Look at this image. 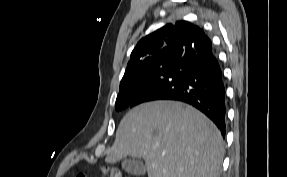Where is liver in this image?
Listing matches in <instances>:
<instances>
[{
    "instance_id": "1",
    "label": "liver",
    "mask_w": 287,
    "mask_h": 177,
    "mask_svg": "<svg viewBox=\"0 0 287 177\" xmlns=\"http://www.w3.org/2000/svg\"><path fill=\"white\" fill-rule=\"evenodd\" d=\"M143 158L148 177H219L224 156L220 131L195 108L154 101L121 120L106 162Z\"/></svg>"
}]
</instances>
